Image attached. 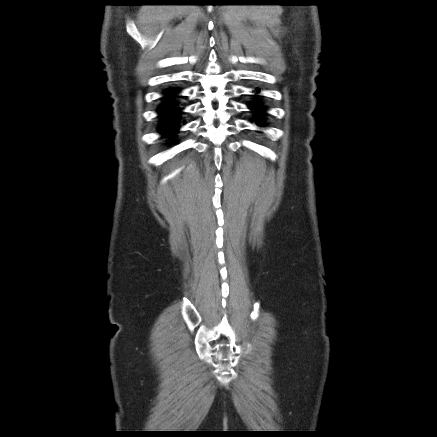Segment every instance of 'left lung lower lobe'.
Wrapping results in <instances>:
<instances>
[{
    "mask_svg": "<svg viewBox=\"0 0 437 437\" xmlns=\"http://www.w3.org/2000/svg\"><path fill=\"white\" fill-rule=\"evenodd\" d=\"M256 91L259 92V89L256 88ZM248 107L255 114V116L253 117L255 123L259 126H264L263 116L265 114V109L262 100L256 99V95H255V100L248 103Z\"/></svg>",
    "mask_w": 437,
    "mask_h": 437,
    "instance_id": "left-lung-lower-lobe-1",
    "label": "left lung lower lobe"
}]
</instances>
